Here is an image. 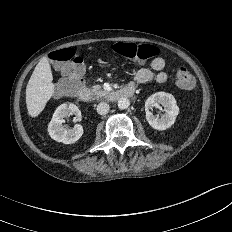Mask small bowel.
Wrapping results in <instances>:
<instances>
[{"instance_id":"c3829d8e","label":"small bowel","mask_w":232,"mask_h":232,"mask_svg":"<svg viewBox=\"0 0 232 232\" xmlns=\"http://www.w3.org/2000/svg\"><path fill=\"white\" fill-rule=\"evenodd\" d=\"M165 64L164 58H154L150 64V68H141L135 73L130 86L135 87L137 84H145L152 80L157 83H164L167 80V74L164 71Z\"/></svg>"}]
</instances>
